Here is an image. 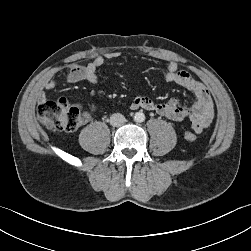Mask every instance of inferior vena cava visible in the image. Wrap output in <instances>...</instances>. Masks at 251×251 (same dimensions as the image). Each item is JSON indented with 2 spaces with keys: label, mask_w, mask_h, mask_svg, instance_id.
Returning <instances> with one entry per match:
<instances>
[{
  "label": "inferior vena cava",
  "mask_w": 251,
  "mask_h": 251,
  "mask_svg": "<svg viewBox=\"0 0 251 251\" xmlns=\"http://www.w3.org/2000/svg\"><path fill=\"white\" fill-rule=\"evenodd\" d=\"M125 122L126 118L120 113H115L110 117V124L114 127H119L123 125Z\"/></svg>",
  "instance_id": "602c4592"
}]
</instances>
